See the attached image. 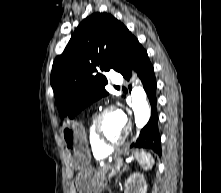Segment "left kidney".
I'll use <instances>...</instances> for the list:
<instances>
[{
    "label": "left kidney",
    "instance_id": "left-kidney-1",
    "mask_svg": "<svg viewBox=\"0 0 221 193\" xmlns=\"http://www.w3.org/2000/svg\"><path fill=\"white\" fill-rule=\"evenodd\" d=\"M125 193H146L147 184L144 176L139 172L131 174L126 180Z\"/></svg>",
    "mask_w": 221,
    "mask_h": 193
}]
</instances>
